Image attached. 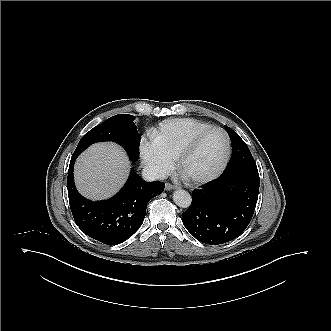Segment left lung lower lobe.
Here are the masks:
<instances>
[{"label": "left lung lower lobe", "instance_id": "obj_1", "mask_svg": "<svg viewBox=\"0 0 331 331\" xmlns=\"http://www.w3.org/2000/svg\"><path fill=\"white\" fill-rule=\"evenodd\" d=\"M237 184L236 189L230 188ZM258 170H225L193 192L182 222L199 241L219 245L243 233L252 219L259 193Z\"/></svg>", "mask_w": 331, "mask_h": 331}]
</instances>
